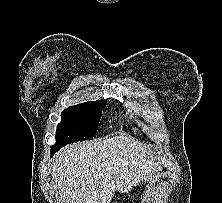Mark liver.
Segmentation results:
<instances>
[{
  "mask_svg": "<svg viewBox=\"0 0 222 203\" xmlns=\"http://www.w3.org/2000/svg\"><path fill=\"white\" fill-rule=\"evenodd\" d=\"M159 170L152 153L127 136L65 146L52 163L61 203H110L116 190L128 193Z\"/></svg>",
  "mask_w": 222,
  "mask_h": 203,
  "instance_id": "liver-1",
  "label": "liver"
}]
</instances>
